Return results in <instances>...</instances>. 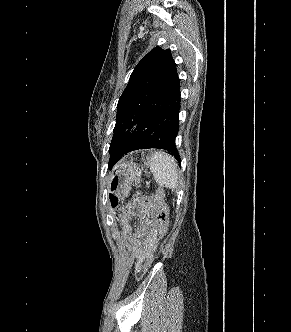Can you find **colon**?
Segmentation results:
<instances>
[{
	"mask_svg": "<svg viewBox=\"0 0 291 332\" xmlns=\"http://www.w3.org/2000/svg\"><path fill=\"white\" fill-rule=\"evenodd\" d=\"M110 203L114 206L117 203L116 199H111ZM139 215L144 226L149 227L153 223H157L160 227V234L164 236L168 230V214L164 202V193L158 189L155 198L148 196L142 197L139 206ZM127 220L123 218V223ZM152 259L149 258L143 266L138 269V275L141 276L150 266Z\"/></svg>",
	"mask_w": 291,
	"mask_h": 332,
	"instance_id": "obj_1",
	"label": "colon"
}]
</instances>
